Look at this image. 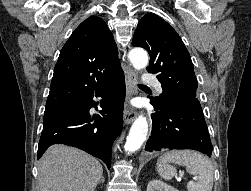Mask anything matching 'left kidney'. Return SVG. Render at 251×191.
<instances>
[{"label":"left kidney","instance_id":"1","mask_svg":"<svg viewBox=\"0 0 251 191\" xmlns=\"http://www.w3.org/2000/svg\"><path fill=\"white\" fill-rule=\"evenodd\" d=\"M147 191H179V189H175V187L168 185L165 181H160V179H152L147 185Z\"/></svg>","mask_w":251,"mask_h":191}]
</instances>
